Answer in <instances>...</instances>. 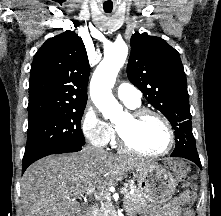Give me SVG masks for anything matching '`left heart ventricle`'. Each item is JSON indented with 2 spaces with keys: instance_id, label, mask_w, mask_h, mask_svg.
Returning a JSON list of instances; mask_svg holds the SVG:
<instances>
[{
  "instance_id": "left-heart-ventricle-1",
  "label": "left heart ventricle",
  "mask_w": 221,
  "mask_h": 216,
  "mask_svg": "<svg viewBox=\"0 0 221 216\" xmlns=\"http://www.w3.org/2000/svg\"><path fill=\"white\" fill-rule=\"evenodd\" d=\"M116 124L122 128L132 144L144 152L158 153L168 145L167 129L156 117L147 116L133 125L124 114Z\"/></svg>"
}]
</instances>
